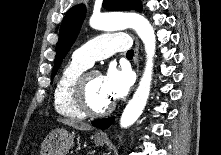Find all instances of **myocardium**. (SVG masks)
<instances>
[{
  "instance_id": "obj_1",
  "label": "myocardium",
  "mask_w": 221,
  "mask_h": 155,
  "mask_svg": "<svg viewBox=\"0 0 221 155\" xmlns=\"http://www.w3.org/2000/svg\"><path fill=\"white\" fill-rule=\"evenodd\" d=\"M100 74L97 70L87 69L82 72L75 80L72 89L71 96L75 106L87 116L100 117L109 114L114 109V103L111 102L108 106L101 110H95L92 108L87 97V88L90 78Z\"/></svg>"
}]
</instances>
